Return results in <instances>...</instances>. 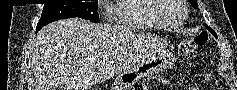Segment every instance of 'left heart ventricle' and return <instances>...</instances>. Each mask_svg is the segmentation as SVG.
Returning <instances> with one entry per match:
<instances>
[{"label":"left heart ventricle","mask_w":237,"mask_h":90,"mask_svg":"<svg viewBox=\"0 0 237 90\" xmlns=\"http://www.w3.org/2000/svg\"><path fill=\"white\" fill-rule=\"evenodd\" d=\"M182 19V11L181 10H174L173 13H169L168 16H164L163 22L168 26L176 25Z\"/></svg>","instance_id":"1"}]
</instances>
